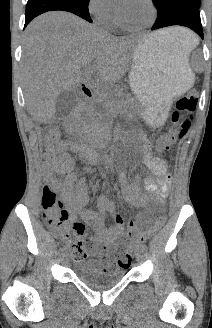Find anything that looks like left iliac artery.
Returning a JSON list of instances; mask_svg holds the SVG:
<instances>
[{"label": "left iliac artery", "mask_w": 212, "mask_h": 328, "mask_svg": "<svg viewBox=\"0 0 212 328\" xmlns=\"http://www.w3.org/2000/svg\"><path fill=\"white\" fill-rule=\"evenodd\" d=\"M141 248H142L143 251H147V249H148L146 244L141 245Z\"/></svg>", "instance_id": "1"}]
</instances>
